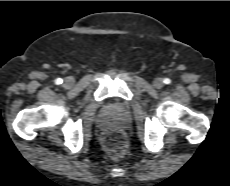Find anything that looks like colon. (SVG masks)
<instances>
[{
	"label": "colon",
	"mask_w": 230,
	"mask_h": 186,
	"mask_svg": "<svg viewBox=\"0 0 230 186\" xmlns=\"http://www.w3.org/2000/svg\"><path fill=\"white\" fill-rule=\"evenodd\" d=\"M102 145L105 151L113 158L122 157L127 148V142L123 132L113 128L103 133Z\"/></svg>",
	"instance_id": "1"
}]
</instances>
